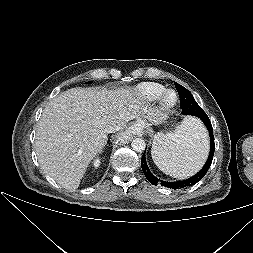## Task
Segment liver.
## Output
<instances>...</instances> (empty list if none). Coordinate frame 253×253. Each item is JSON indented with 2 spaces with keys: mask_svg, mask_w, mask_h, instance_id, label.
Instances as JSON below:
<instances>
[{
  "mask_svg": "<svg viewBox=\"0 0 253 253\" xmlns=\"http://www.w3.org/2000/svg\"><path fill=\"white\" fill-rule=\"evenodd\" d=\"M145 118L155 121L154 110L128 88L68 89L49 101L38 122L35 151L41 169L75 190L106 144L108 128L122 129L133 119L143 127Z\"/></svg>",
  "mask_w": 253,
  "mask_h": 253,
  "instance_id": "1",
  "label": "liver"
}]
</instances>
